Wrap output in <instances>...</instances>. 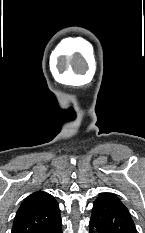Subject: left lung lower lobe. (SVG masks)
Here are the masks:
<instances>
[{"instance_id":"obj_1","label":"left lung lower lobe","mask_w":145,"mask_h":233,"mask_svg":"<svg viewBox=\"0 0 145 233\" xmlns=\"http://www.w3.org/2000/svg\"><path fill=\"white\" fill-rule=\"evenodd\" d=\"M89 226L91 228V232H97V233H104L100 228H98L91 220L89 223ZM95 230V231H94Z\"/></svg>"}]
</instances>
